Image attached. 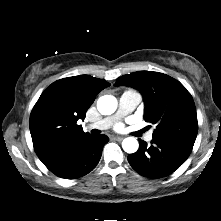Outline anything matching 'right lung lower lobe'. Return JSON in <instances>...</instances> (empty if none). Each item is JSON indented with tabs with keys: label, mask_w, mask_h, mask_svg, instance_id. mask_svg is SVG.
I'll return each mask as SVG.
<instances>
[{
	"label": "right lung lower lobe",
	"mask_w": 221,
	"mask_h": 221,
	"mask_svg": "<svg viewBox=\"0 0 221 221\" xmlns=\"http://www.w3.org/2000/svg\"><path fill=\"white\" fill-rule=\"evenodd\" d=\"M109 138L103 134L89 135L73 145L64 156L47 168L64 179L82 177L98 164L104 145Z\"/></svg>",
	"instance_id": "obj_1"
}]
</instances>
